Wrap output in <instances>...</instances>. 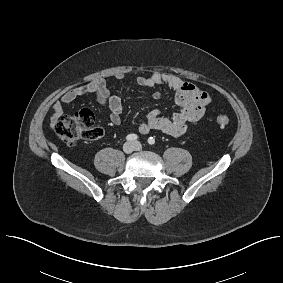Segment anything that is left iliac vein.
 Masks as SVG:
<instances>
[{"instance_id":"left-iliac-vein-1","label":"left iliac vein","mask_w":283,"mask_h":283,"mask_svg":"<svg viewBox=\"0 0 283 283\" xmlns=\"http://www.w3.org/2000/svg\"><path fill=\"white\" fill-rule=\"evenodd\" d=\"M133 144L135 145V150H136V151H139V150L142 149V145H141L140 142L135 141V142H133Z\"/></svg>"}]
</instances>
